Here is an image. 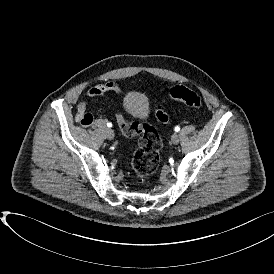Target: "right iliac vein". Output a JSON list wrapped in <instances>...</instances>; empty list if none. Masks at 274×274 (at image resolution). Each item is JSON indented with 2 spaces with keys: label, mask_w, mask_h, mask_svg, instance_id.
Segmentation results:
<instances>
[{
  "label": "right iliac vein",
  "mask_w": 274,
  "mask_h": 274,
  "mask_svg": "<svg viewBox=\"0 0 274 274\" xmlns=\"http://www.w3.org/2000/svg\"><path fill=\"white\" fill-rule=\"evenodd\" d=\"M106 136L109 140L114 139V136H115L114 131L112 129H107L106 130Z\"/></svg>",
  "instance_id": "63e3f726"
}]
</instances>
